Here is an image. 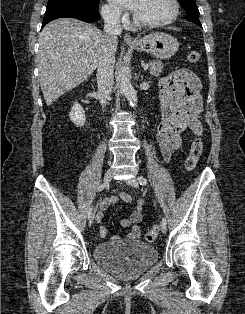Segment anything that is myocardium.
<instances>
[{
  "mask_svg": "<svg viewBox=\"0 0 245 314\" xmlns=\"http://www.w3.org/2000/svg\"><path fill=\"white\" fill-rule=\"evenodd\" d=\"M170 2L172 4V13L167 18L159 20V21H154V22H146V21L140 20L136 15H134L135 25L139 27H144V28H157V27H162V26H165L174 22L179 15L180 4L178 0H170Z\"/></svg>",
  "mask_w": 245,
  "mask_h": 314,
  "instance_id": "f54148a6",
  "label": "myocardium"
}]
</instances>
